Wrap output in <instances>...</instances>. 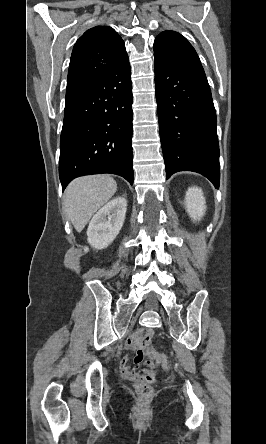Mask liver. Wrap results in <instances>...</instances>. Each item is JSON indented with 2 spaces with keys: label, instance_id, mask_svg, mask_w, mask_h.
Instances as JSON below:
<instances>
[{
  "label": "liver",
  "instance_id": "1",
  "mask_svg": "<svg viewBox=\"0 0 266 444\" xmlns=\"http://www.w3.org/2000/svg\"><path fill=\"white\" fill-rule=\"evenodd\" d=\"M117 190L116 181L108 175L84 176L73 180L64 194V209L77 232H81L94 213Z\"/></svg>",
  "mask_w": 266,
  "mask_h": 444
}]
</instances>
